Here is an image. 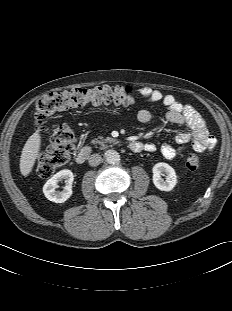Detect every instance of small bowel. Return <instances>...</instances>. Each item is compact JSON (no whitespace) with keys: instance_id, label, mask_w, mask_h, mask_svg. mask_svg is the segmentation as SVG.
I'll return each mask as SVG.
<instances>
[{"instance_id":"obj_1","label":"small bowel","mask_w":232,"mask_h":311,"mask_svg":"<svg viewBox=\"0 0 232 311\" xmlns=\"http://www.w3.org/2000/svg\"><path fill=\"white\" fill-rule=\"evenodd\" d=\"M139 91L148 101L153 103L161 102L167 108L165 117L168 122L186 126L188 129L186 132L177 134L175 140L178 147L169 143H163L160 146V152L164 158H175L186 149L190 140L192 141V148L197 152H204L214 148L215 139L209 134L205 121L194 107L182 104L173 95L164 94L155 88L145 86L141 87ZM153 118V113L147 109H141L137 113L138 121L143 124L151 122ZM144 149L147 152H154L156 146L153 143H147Z\"/></svg>"}]
</instances>
